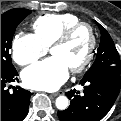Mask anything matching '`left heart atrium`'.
<instances>
[{
    "label": "left heart atrium",
    "instance_id": "obj_1",
    "mask_svg": "<svg viewBox=\"0 0 121 121\" xmlns=\"http://www.w3.org/2000/svg\"><path fill=\"white\" fill-rule=\"evenodd\" d=\"M68 75L69 67L65 61L61 57L52 56L25 69L22 79L30 88L52 91L58 89Z\"/></svg>",
    "mask_w": 121,
    "mask_h": 121
}]
</instances>
